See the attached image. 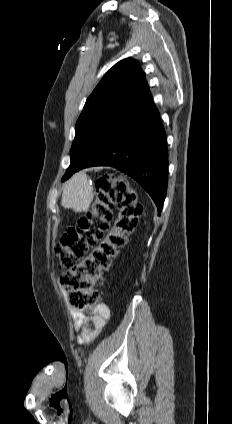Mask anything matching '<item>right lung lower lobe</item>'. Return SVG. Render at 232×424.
<instances>
[{
    "label": "right lung lower lobe",
    "instance_id": "obj_1",
    "mask_svg": "<svg viewBox=\"0 0 232 424\" xmlns=\"http://www.w3.org/2000/svg\"><path fill=\"white\" fill-rule=\"evenodd\" d=\"M112 166L135 179L152 197L158 215L168 180L166 133L153 99L133 107L130 121L113 130L80 169Z\"/></svg>",
    "mask_w": 232,
    "mask_h": 424
}]
</instances>
